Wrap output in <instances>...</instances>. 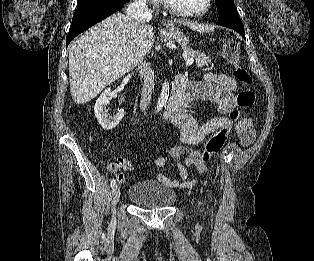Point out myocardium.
<instances>
[{"label":"myocardium","mask_w":314,"mask_h":261,"mask_svg":"<svg viewBox=\"0 0 314 261\" xmlns=\"http://www.w3.org/2000/svg\"><path fill=\"white\" fill-rule=\"evenodd\" d=\"M162 2H163L164 7L168 11H170L171 13L182 16V17H187V18L200 17V16L206 14L212 6V0H206L205 6L201 10H199V11H186V10L180 9V8L176 7L175 5H173L170 0H162Z\"/></svg>","instance_id":"f54148a6"}]
</instances>
